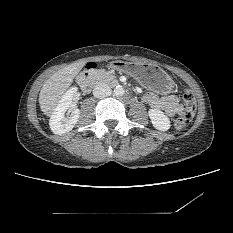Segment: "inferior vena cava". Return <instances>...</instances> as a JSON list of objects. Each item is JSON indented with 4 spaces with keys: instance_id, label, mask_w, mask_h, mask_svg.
Masks as SVG:
<instances>
[{
    "instance_id": "602c4592",
    "label": "inferior vena cava",
    "mask_w": 233,
    "mask_h": 233,
    "mask_svg": "<svg viewBox=\"0 0 233 233\" xmlns=\"http://www.w3.org/2000/svg\"><path fill=\"white\" fill-rule=\"evenodd\" d=\"M111 94H112L111 88L104 83H100L96 85L93 90V95L96 98H104L110 96Z\"/></svg>"
}]
</instances>
